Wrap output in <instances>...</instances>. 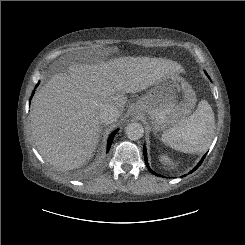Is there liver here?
Instances as JSON below:
<instances>
[{"label": "liver", "instance_id": "6515ba94", "mask_svg": "<svg viewBox=\"0 0 245 245\" xmlns=\"http://www.w3.org/2000/svg\"><path fill=\"white\" fill-rule=\"evenodd\" d=\"M183 72L180 64L163 58L119 57L106 62L72 64L55 74L32 101V138L46 162L69 170L92 157L101 132L99 108L115 105L119 116L125 93L154 85L162 76Z\"/></svg>", "mask_w": 245, "mask_h": 245}]
</instances>
